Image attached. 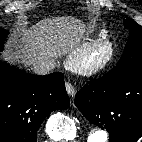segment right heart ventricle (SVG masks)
<instances>
[{
	"label": "right heart ventricle",
	"instance_id": "right-heart-ventricle-1",
	"mask_svg": "<svg viewBox=\"0 0 142 142\" xmlns=\"http://www.w3.org/2000/svg\"><path fill=\"white\" fill-rule=\"evenodd\" d=\"M101 34H102V35H105V32L103 31V32H101Z\"/></svg>",
	"mask_w": 142,
	"mask_h": 142
}]
</instances>
